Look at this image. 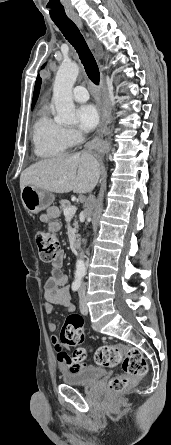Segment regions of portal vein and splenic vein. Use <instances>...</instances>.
Returning a JSON list of instances; mask_svg holds the SVG:
<instances>
[{"mask_svg":"<svg viewBox=\"0 0 171 445\" xmlns=\"http://www.w3.org/2000/svg\"><path fill=\"white\" fill-rule=\"evenodd\" d=\"M77 208L75 206H70L64 210L65 217H72L76 213Z\"/></svg>","mask_w":171,"mask_h":445,"instance_id":"1","label":"portal vein and splenic vein"}]
</instances>
